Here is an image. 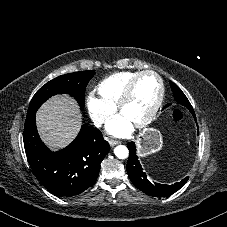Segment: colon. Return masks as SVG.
I'll use <instances>...</instances> for the list:
<instances>
[{"label": "colon", "instance_id": "5ec220e1", "mask_svg": "<svg viewBox=\"0 0 227 227\" xmlns=\"http://www.w3.org/2000/svg\"><path fill=\"white\" fill-rule=\"evenodd\" d=\"M173 120L176 122H179L183 119L184 115L183 112L179 109H176L172 113Z\"/></svg>", "mask_w": 227, "mask_h": 227}]
</instances>
